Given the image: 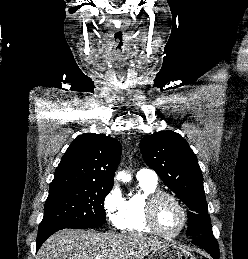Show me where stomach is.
I'll return each mask as SVG.
<instances>
[{
  "mask_svg": "<svg viewBox=\"0 0 248 259\" xmlns=\"http://www.w3.org/2000/svg\"><path fill=\"white\" fill-rule=\"evenodd\" d=\"M148 259H195L187 250L173 244H166L151 252Z\"/></svg>",
  "mask_w": 248,
  "mask_h": 259,
  "instance_id": "obj_1",
  "label": "stomach"
}]
</instances>
